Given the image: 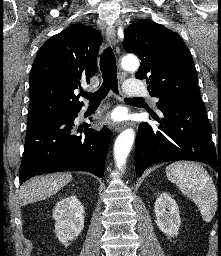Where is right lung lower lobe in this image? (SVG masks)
<instances>
[{"label": "right lung lower lobe", "mask_w": 221, "mask_h": 256, "mask_svg": "<svg viewBox=\"0 0 221 256\" xmlns=\"http://www.w3.org/2000/svg\"><path fill=\"white\" fill-rule=\"evenodd\" d=\"M79 110L28 128L19 169L21 182L59 171H87L103 177L110 130L104 126L95 131L84 124V134L74 133L72 128Z\"/></svg>", "instance_id": "98d812e1"}]
</instances>
